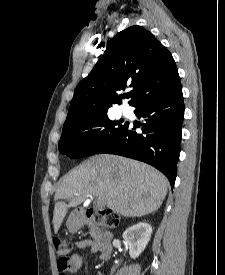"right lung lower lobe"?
<instances>
[{"label": "right lung lower lobe", "instance_id": "obj_1", "mask_svg": "<svg viewBox=\"0 0 225 275\" xmlns=\"http://www.w3.org/2000/svg\"><path fill=\"white\" fill-rule=\"evenodd\" d=\"M145 123H127L123 131L105 144L97 154H116L140 160L159 169L174 186L180 154L184 104L180 80L165 89L147 95L133 105Z\"/></svg>", "mask_w": 225, "mask_h": 275}]
</instances>
